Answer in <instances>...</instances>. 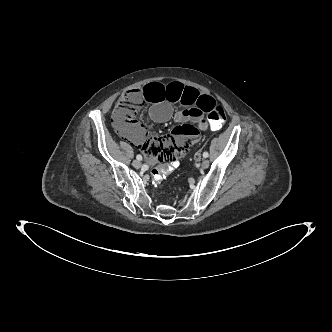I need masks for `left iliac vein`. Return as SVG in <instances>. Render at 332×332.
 Listing matches in <instances>:
<instances>
[{"label": "left iliac vein", "instance_id": "4c4485c4", "mask_svg": "<svg viewBox=\"0 0 332 332\" xmlns=\"http://www.w3.org/2000/svg\"><path fill=\"white\" fill-rule=\"evenodd\" d=\"M209 165H210V162H209V160H207V159H204V160L201 162V165H200V167H201L202 169H206V168H208V167H209Z\"/></svg>", "mask_w": 332, "mask_h": 332}]
</instances>
